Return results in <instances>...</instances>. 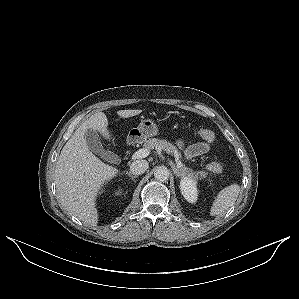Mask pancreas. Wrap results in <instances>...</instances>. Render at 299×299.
<instances>
[{
  "instance_id": "pancreas-1",
  "label": "pancreas",
  "mask_w": 299,
  "mask_h": 299,
  "mask_svg": "<svg viewBox=\"0 0 299 299\" xmlns=\"http://www.w3.org/2000/svg\"><path fill=\"white\" fill-rule=\"evenodd\" d=\"M144 146L148 149H162L168 154L174 155L177 159L181 158L180 152L177 150V148L167 142L166 140H160L157 138H151L145 141ZM181 174L184 176H188L193 179H204L208 176V173L205 171H198V172H193L191 168L186 167L185 165L182 164L180 167Z\"/></svg>"
}]
</instances>
